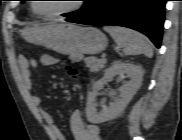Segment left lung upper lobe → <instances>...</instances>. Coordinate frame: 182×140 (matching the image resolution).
Masks as SVG:
<instances>
[{"mask_svg":"<svg viewBox=\"0 0 182 140\" xmlns=\"http://www.w3.org/2000/svg\"><path fill=\"white\" fill-rule=\"evenodd\" d=\"M100 0H88L86 1V4L83 6V8L79 11L73 12V16H82V15H87L90 13L99 3ZM23 2V1H22ZM66 17H72L68 14H64Z\"/></svg>","mask_w":182,"mask_h":140,"instance_id":"obj_1","label":"left lung upper lobe"}]
</instances>
